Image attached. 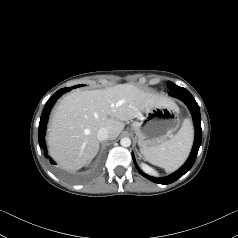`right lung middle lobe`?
Returning a JSON list of instances; mask_svg holds the SVG:
<instances>
[{
    "mask_svg": "<svg viewBox=\"0 0 238 238\" xmlns=\"http://www.w3.org/2000/svg\"><path fill=\"white\" fill-rule=\"evenodd\" d=\"M77 87L83 86V85H76Z\"/></svg>",
    "mask_w": 238,
    "mask_h": 238,
    "instance_id": "right-lung-middle-lobe-1",
    "label": "right lung middle lobe"
}]
</instances>
